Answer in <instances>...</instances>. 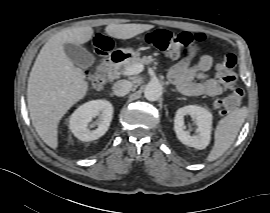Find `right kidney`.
Wrapping results in <instances>:
<instances>
[{
  "mask_svg": "<svg viewBox=\"0 0 270 213\" xmlns=\"http://www.w3.org/2000/svg\"><path fill=\"white\" fill-rule=\"evenodd\" d=\"M96 123L91 124L97 117ZM113 117V106L107 100H93L81 105L74 111L69 120L71 132L81 141H92L103 136L110 126ZM97 125L94 130L91 127Z\"/></svg>",
  "mask_w": 270,
  "mask_h": 213,
  "instance_id": "obj_1",
  "label": "right kidney"
}]
</instances>
